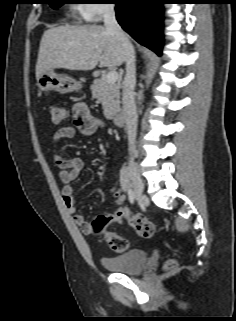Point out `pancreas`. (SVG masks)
Here are the masks:
<instances>
[{
	"label": "pancreas",
	"mask_w": 236,
	"mask_h": 321,
	"mask_svg": "<svg viewBox=\"0 0 236 321\" xmlns=\"http://www.w3.org/2000/svg\"><path fill=\"white\" fill-rule=\"evenodd\" d=\"M120 84L108 83L106 75L95 79L91 85L93 98L98 99L103 106V113L107 119L120 111Z\"/></svg>",
	"instance_id": "cf45deb5"
}]
</instances>
